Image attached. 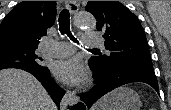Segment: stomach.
Here are the masks:
<instances>
[{"mask_svg":"<svg viewBox=\"0 0 171 110\" xmlns=\"http://www.w3.org/2000/svg\"><path fill=\"white\" fill-rule=\"evenodd\" d=\"M95 110H140L138 94L127 87H120L100 100Z\"/></svg>","mask_w":171,"mask_h":110,"instance_id":"obj_1","label":"stomach"}]
</instances>
